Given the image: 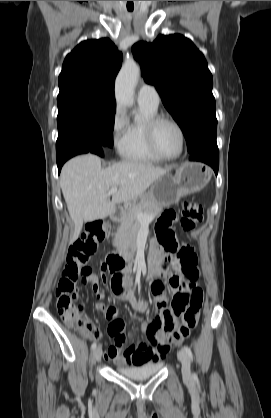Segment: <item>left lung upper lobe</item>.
Returning <instances> with one entry per match:
<instances>
[{
	"instance_id": "1",
	"label": "left lung upper lobe",
	"mask_w": 271,
	"mask_h": 418,
	"mask_svg": "<svg viewBox=\"0 0 271 418\" xmlns=\"http://www.w3.org/2000/svg\"><path fill=\"white\" fill-rule=\"evenodd\" d=\"M132 51L144 80L153 84L178 123L190 154L215 145L217 119L213 78L203 54L180 34L136 43Z\"/></svg>"
}]
</instances>
